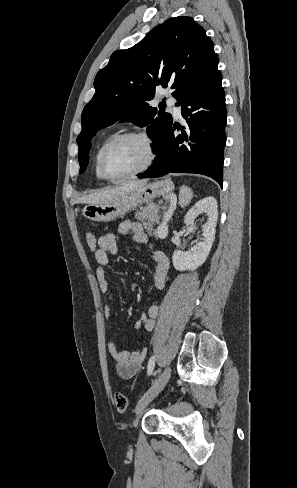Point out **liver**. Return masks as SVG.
<instances>
[{
	"mask_svg": "<svg viewBox=\"0 0 297 488\" xmlns=\"http://www.w3.org/2000/svg\"><path fill=\"white\" fill-rule=\"evenodd\" d=\"M147 180H129L122 186L116 188L103 190L100 192L91 193L81 198V201L88 204L107 203L117 199L121 194L135 190L144 186Z\"/></svg>",
	"mask_w": 297,
	"mask_h": 488,
	"instance_id": "liver-1",
	"label": "liver"
}]
</instances>
